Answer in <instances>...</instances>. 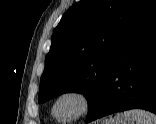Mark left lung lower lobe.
I'll use <instances>...</instances> for the list:
<instances>
[{
  "instance_id": "0a47b994",
  "label": "left lung lower lobe",
  "mask_w": 156,
  "mask_h": 124,
  "mask_svg": "<svg viewBox=\"0 0 156 124\" xmlns=\"http://www.w3.org/2000/svg\"><path fill=\"white\" fill-rule=\"evenodd\" d=\"M134 108L156 114V10L125 47L86 123Z\"/></svg>"
}]
</instances>
